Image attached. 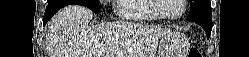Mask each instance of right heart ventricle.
Listing matches in <instances>:
<instances>
[{"label": "right heart ventricle", "mask_w": 249, "mask_h": 57, "mask_svg": "<svg viewBox=\"0 0 249 57\" xmlns=\"http://www.w3.org/2000/svg\"><path fill=\"white\" fill-rule=\"evenodd\" d=\"M116 11L128 21H155L158 15L152 11V0H118Z\"/></svg>", "instance_id": "right-heart-ventricle-1"}]
</instances>
